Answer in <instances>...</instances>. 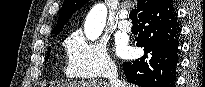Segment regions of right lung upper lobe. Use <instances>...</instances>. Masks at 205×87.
I'll return each mask as SVG.
<instances>
[{"mask_svg": "<svg viewBox=\"0 0 205 87\" xmlns=\"http://www.w3.org/2000/svg\"><path fill=\"white\" fill-rule=\"evenodd\" d=\"M88 0H64L63 6L57 21L55 29L51 32L58 34L64 27V24L70 19L72 14L81 8ZM161 0H138L137 11L142 15L147 10L158 4Z\"/></svg>", "mask_w": 205, "mask_h": 87, "instance_id": "cb5924a9", "label": "right lung upper lobe"}]
</instances>
